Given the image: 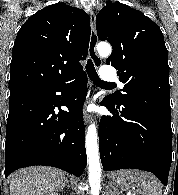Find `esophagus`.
Instances as JSON below:
<instances>
[{"instance_id":"1","label":"esophagus","mask_w":178,"mask_h":195,"mask_svg":"<svg viewBox=\"0 0 178 195\" xmlns=\"http://www.w3.org/2000/svg\"><path fill=\"white\" fill-rule=\"evenodd\" d=\"M90 25H91V35H90V41H89V56L94 62L96 67H99L102 63L101 58L96 52V46L98 43V36L96 31V15L94 11H90ZM92 98V92L88 91L87 100L89 101ZM84 122L85 124H88L92 120L91 113L84 111Z\"/></svg>"}]
</instances>
